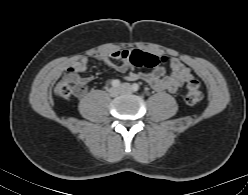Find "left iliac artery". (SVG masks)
<instances>
[{
  "mask_svg": "<svg viewBox=\"0 0 248 195\" xmlns=\"http://www.w3.org/2000/svg\"><path fill=\"white\" fill-rule=\"evenodd\" d=\"M132 90L135 91V92L138 91L139 90V85L137 83H134L132 85Z\"/></svg>",
  "mask_w": 248,
  "mask_h": 195,
  "instance_id": "44dca946",
  "label": "left iliac artery"
}]
</instances>
